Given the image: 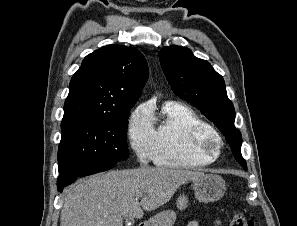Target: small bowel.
Wrapping results in <instances>:
<instances>
[{
    "label": "small bowel",
    "mask_w": 297,
    "mask_h": 226,
    "mask_svg": "<svg viewBox=\"0 0 297 226\" xmlns=\"http://www.w3.org/2000/svg\"><path fill=\"white\" fill-rule=\"evenodd\" d=\"M223 221L220 218H217L214 220L213 225L214 226H222ZM187 226H199L198 220H192L191 222L188 223Z\"/></svg>",
    "instance_id": "small-bowel-1"
}]
</instances>
